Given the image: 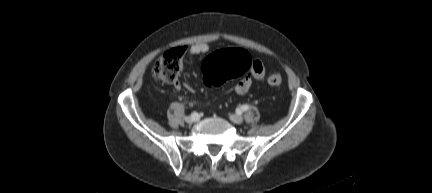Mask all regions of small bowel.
Here are the masks:
<instances>
[{
    "label": "small bowel",
    "mask_w": 432,
    "mask_h": 193,
    "mask_svg": "<svg viewBox=\"0 0 432 193\" xmlns=\"http://www.w3.org/2000/svg\"><path fill=\"white\" fill-rule=\"evenodd\" d=\"M209 51V45L207 43H197L192 45L188 49V55L197 56L205 54ZM265 75V66L264 64L257 59H253L251 70L246 73L233 87L230 88V91H234L237 94L243 95L246 94L253 80H261ZM175 87L179 89L181 87L179 82H175Z\"/></svg>",
    "instance_id": "c3829d8e"
}]
</instances>
